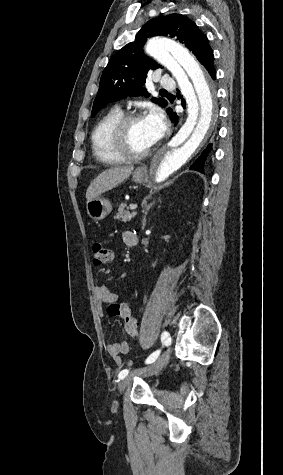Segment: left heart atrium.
Instances as JSON below:
<instances>
[{
    "label": "left heart atrium",
    "mask_w": 283,
    "mask_h": 475,
    "mask_svg": "<svg viewBox=\"0 0 283 475\" xmlns=\"http://www.w3.org/2000/svg\"><path fill=\"white\" fill-rule=\"evenodd\" d=\"M145 121L151 130L149 133L151 139L154 142L160 140L164 136L167 128V122L163 112L157 107H152Z\"/></svg>",
    "instance_id": "obj_1"
}]
</instances>
